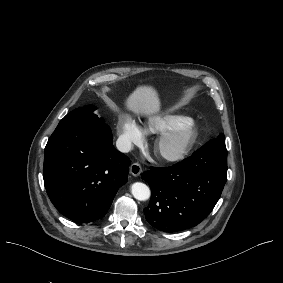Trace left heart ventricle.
<instances>
[{"label":"left heart ventricle","mask_w":283,"mask_h":283,"mask_svg":"<svg viewBox=\"0 0 283 283\" xmlns=\"http://www.w3.org/2000/svg\"><path fill=\"white\" fill-rule=\"evenodd\" d=\"M161 159L166 156L173 155L179 149V142L157 144Z\"/></svg>","instance_id":"left-heart-ventricle-1"}]
</instances>
